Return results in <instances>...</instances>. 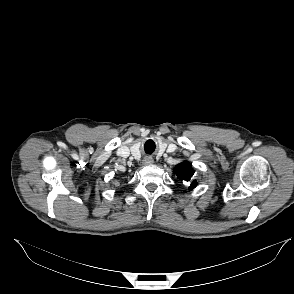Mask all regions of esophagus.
I'll list each match as a JSON object with an SVG mask.
<instances>
[{
	"label": "esophagus",
	"mask_w": 294,
	"mask_h": 294,
	"mask_svg": "<svg viewBox=\"0 0 294 294\" xmlns=\"http://www.w3.org/2000/svg\"><path fill=\"white\" fill-rule=\"evenodd\" d=\"M152 163H153V159L151 157L144 158V164L148 165V164H152Z\"/></svg>",
	"instance_id": "1"
}]
</instances>
